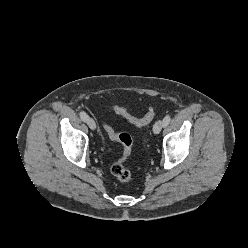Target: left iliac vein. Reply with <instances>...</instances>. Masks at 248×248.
<instances>
[{
    "label": "left iliac vein",
    "mask_w": 248,
    "mask_h": 248,
    "mask_svg": "<svg viewBox=\"0 0 248 248\" xmlns=\"http://www.w3.org/2000/svg\"><path fill=\"white\" fill-rule=\"evenodd\" d=\"M162 128H163V121L162 120L156 121L155 124L153 125L154 134H159Z\"/></svg>",
    "instance_id": "1"
}]
</instances>
